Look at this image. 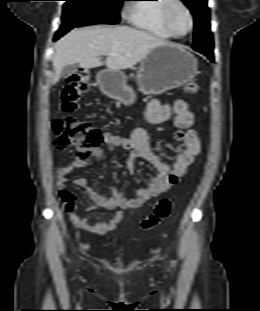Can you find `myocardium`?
<instances>
[{"instance_id":"1","label":"myocardium","mask_w":260,"mask_h":311,"mask_svg":"<svg viewBox=\"0 0 260 311\" xmlns=\"http://www.w3.org/2000/svg\"><path fill=\"white\" fill-rule=\"evenodd\" d=\"M175 5L180 6L187 13L188 18H189L190 26H189L188 31L184 34L176 33L174 31V29L172 28V25L170 22L171 11ZM161 19H162V22H163L165 28L173 37L181 38V37L187 36L188 34H190L192 32V30L194 28L193 14H192L190 8L182 0H165V3L163 4L162 10H161Z\"/></svg>"}]
</instances>
